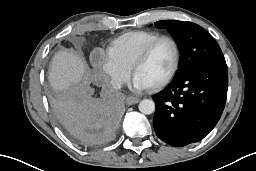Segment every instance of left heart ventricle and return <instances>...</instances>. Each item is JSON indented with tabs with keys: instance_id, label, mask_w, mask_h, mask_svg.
<instances>
[{
	"instance_id": "b2bd125f",
	"label": "left heart ventricle",
	"mask_w": 256,
	"mask_h": 171,
	"mask_svg": "<svg viewBox=\"0 0 256 171\" xmlns=\"http://www.w3.org/2000/svg\"><path fill=\"white\" fill-rule=\"evenodd\" d=\"M174 62V49L169 41L155 46L148 59L138 67L135 76L148 86L162 81L170 72Z\"/></svg>"
}]
</instances>
